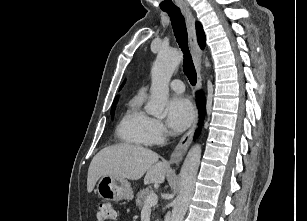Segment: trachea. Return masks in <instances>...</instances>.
<instances>
[{
    "instance_id": "1",
    "label": "trachea",
    "mask_w": 307,
    "mask_h": 221,
    "mask_svg": "<svg viewBox=\"0 0 307 221\" xmlns=\"http://www.w3.org/2000/svg\"><path fill=\"white\" fill-rule=\"evenodd\" d=\"M164 11L167 12L168 15L170 16L176 40L184 54V62H183L184 73L189 79L190 84L195 86L197 82V74L188 48L187 29L184 17L181 14L179 8L168 9Z\"/></svg>"
}]
</instances>
